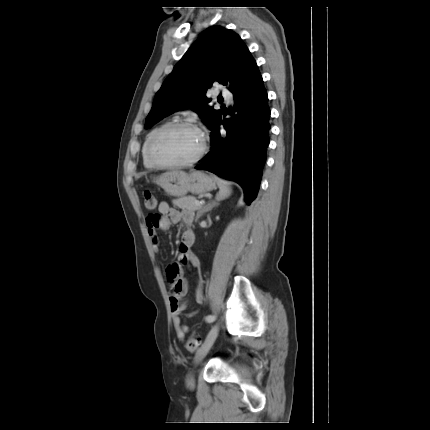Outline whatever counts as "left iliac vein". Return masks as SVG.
Returning <instances> with one entry per match:
<instances>
[{"label":"left iliac vein","instance_id":"4c4485c4","mask_svg":"<svg viewBox=\"0 0 430 430\" xmlns=\"http://www.w3.org/2000/svg\"><path fill=\"white\" fill-rule=\"evenodd\" d=\"M217 336H218V326H214L209 332L208 336L206 337L205 342L198 350V353L196 355V362H200L206 356V354L209 352L210 348L214 344ZM193 383H194L193 377L190 376L188 378V384L193 385Z\"/></svg>","mask_w":430,"mask_h":430}]
</instances>
